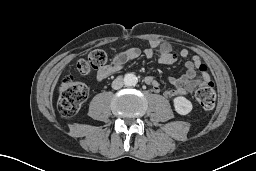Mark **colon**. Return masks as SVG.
Masks as SVG:
<instances>
[{"label":"colon","mask_w":256,"mask_h":171,"mask_svg":"<svg viewBox=\"0 0 256 171\" xmlns=\"http://www.w3.org/2000/svg\"><path fill=\"white\" fill-rule=\"evenodd\" d=\"M106 62V55L102 50L95 49L88 55L80 59L77 63V69L81 74H87L93 69L102 67ZM206 71L205 65L200 67ZM90 94V88L72 76H66L59 85L58 107L64 116H73L76 114L81 104ZM196 100L205 109H212L216 103V92L212 82L200 87L195 93Z\"/></svg>","instance_id":"colon-1"}]
</instances>
